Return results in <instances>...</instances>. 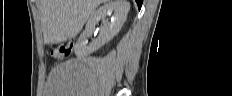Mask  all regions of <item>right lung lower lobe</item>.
I'll return each instance as SVG.
<instances>
[{"instance_id":"1","label":"right lung lower lobe","mask_w":232,"mask_h":96,"mask_svg":"<svg viewBox=\"0 0 232 96\" xmlns=\"http://www.w3.org/2000/svg\"><path fill=\"white\" fill-rule=\"evenodd\" d=\"M135 1H136L137 5H138V8L140 9L141 6H142L143 0H135Z\"/></svg>"}]
</instances>
